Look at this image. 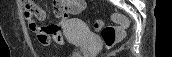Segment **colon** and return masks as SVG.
Returning a JSON list of instances; mask_svg holds the SVG:
<instances>
[{
    "instance_id": "colon-1",
    "label": "colon",
    "mask_w": 172,
    "mask_h": 57,
    "mask_svg": "<svg viewBox=\"0 0 172 57\" xmlns=\"http://www.w3.org/2000/svg\"><path fill=\"white\" fill-rule=\"evenodd\" d=\"M39 12V9L33 5L28 4L25 9V14L34 16ZM115 21L120 25L119 27L113 25L104 26L102 21H95L94 28L101 32L102 39L105 46L110 49L114 47L123 37L124 29L128 26V21L121 15L114 16Z\"/></svg>"
}]
</instances>
